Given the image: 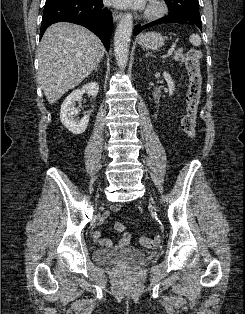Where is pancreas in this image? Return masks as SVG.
<instances>
[{
    "mask_svg": "<svg viewBox=\"0 0 245 314\" xmlns=\"http://www.w3.org/2000/svg\"><path fill=\"white\" fill-rule=\"evenodd\" d=\"M184 55H183V50L179 49L177 51H175L174 56L172 57L173 60L175 61H180L181 63L184 62Z\"/></svg>",
    "mask_w": 245,
    "mask_h": 314,
    "instance_id": "cf45deb5",
    "label": "pancreas"
}]
</instances>
